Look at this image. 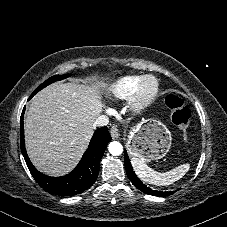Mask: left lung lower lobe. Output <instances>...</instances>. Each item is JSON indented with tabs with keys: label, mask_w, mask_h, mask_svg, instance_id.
<instances>
[{
	"label": "left lung lower lobe",
	"mask_w": 227,
	"mask_h": 227,
	"mask_svg": "<svg viewBox=\"0 0 227 227\" xmlns=\"http://www.w3.org/2000/svg\"><path fill=\"white\" fill-rule=\"evenodd\" d=\"M124 158H125L124 163H125V169H126L127 175L129 177V179L131 180V182L133 183V185L135 187H137L139 190H141L144 193L154 195V196H168V195L174 193V191H171V192L155 191V190H152L151 188L147 187L145 184H143L141 182V180L134 173L126 150L124 153Z\"/></svg>",
	"instance_id": "left-lung-lower-lobe-1"
}]
</instances>
